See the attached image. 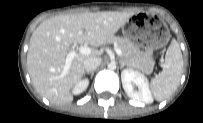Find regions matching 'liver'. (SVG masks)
<instances>
[{
    "label": "liver",
    "mask_w": 203,
    "mask_h": 123,
    "mask_svg": "<svg viewBox=\"0 0 203 123\" xmlns=\"http://www.w3.org/2000/svg\"><path fill=\"white\" fill-rule=\"evenodd\" d=\"M134 12H96L58 15L43 21L33 32L27 53V68L35 90L51 103H71V89L82 79L84 60L101 54L98 48L110 42ZM72 44H90V54L76 53L67 72L66 57Z\"/></svg>",
    "instance_id": "liver-1"
}]
</instances>
